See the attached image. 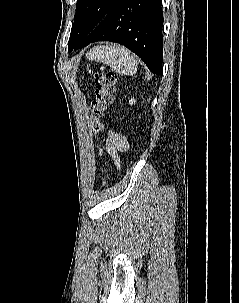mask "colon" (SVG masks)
Wrapping results in <instances>:
<instances>
[{"mask_svg": "<svg viewBox=\"0 0 239 303\" xmlns=\"http://www.w3.org/2000/svg\"><path fill=\"white\" fill-rule=\"evenodd\" d=\"M95 80V97L91 102L90 110L93 119V132L98 133L103 129L100 117L106 112L114 101V92L116 89L117 76L103 67L92 72Z\"/></svg>", "mask_w": 239, "mask_h": 303, "instance_id": "colon-1", "label": "colon"}]
</instances>
